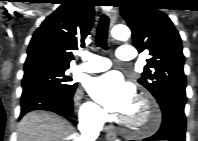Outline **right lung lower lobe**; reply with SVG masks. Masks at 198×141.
Instances as JSON below:
<instances>
[{
  "instance_id": "obj_1",
  "label": "right lung lower lobe",
  "mask_w": 198,
  "mask_h": 141,
  "mask_svg": "<svg viewBox=\"0 0 198 141\" xmlns=\"http://www.w3.org/2000/svg\"><path fill=\"white\" fill-rule=\"evenodd\" d=\"M73 93L64 94L48 87H30L23 89L21 96V114L33 110H46L64 117L73 115Z\"/></svg>"
}]
</instances>
